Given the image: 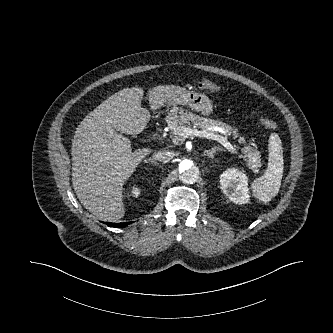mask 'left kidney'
<instances>
[{"label": "left kidney", "mask_w": 333, "mask_h": 333, "mask_svg": "<svg viewBox=\"0 0 333 333\" xmlns=\"http://www.w3.org/2000/svg\"><path fill=\"white\" fill-rule=\"evenodd\" d=\"M221 189L235 204L249 203L248 178L244 171L228 169L220 176Z\"/></svg>", "instance_id": "obj_1"}]
</instances>
